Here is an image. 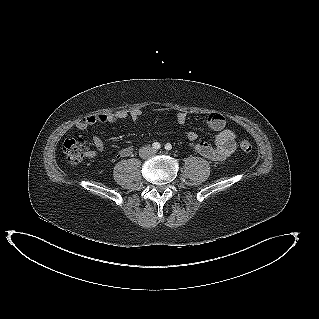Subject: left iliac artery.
Here are the masks:
<instances>
[{"label": "left iliac artery", "instance_id": "left-iliac-artery-1", "mask_svg": "<svg viewBox=\"0 0 319 319\" xmlns=\"http://www.w3.org/2000/svg\"><path fill=\"white\" fill-rule=\"evenodd\" d=\"M165 149H166L167 151L171 150V149H172V145H171L170 143H167V144L165 145Z\"/></svg>", "mask_w": 319, "mask_h": 319}]
</instances>
